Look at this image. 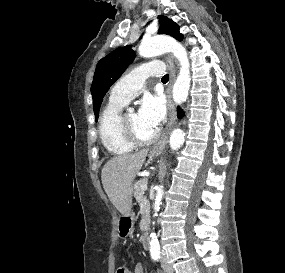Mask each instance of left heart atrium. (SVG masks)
<instances>
[{"mask_svg": "<svg viewBox=\"0 0 285 273\" xmlns=\"http://www.w3.org/2000/svg\"><path fill=\"white\" fill-rule=\"evenodd\" d=\"M165 114V104L161 96L147 94L142 98L138 116L143 123L158 129Z\"/></svg>", "mask_w": 285, "mask_h": 273, "instance_id": "39dd6f15", "label": "left heart atrium"}]
</instances>
